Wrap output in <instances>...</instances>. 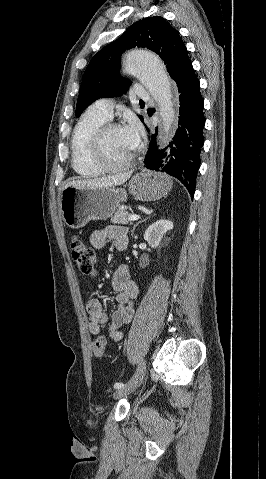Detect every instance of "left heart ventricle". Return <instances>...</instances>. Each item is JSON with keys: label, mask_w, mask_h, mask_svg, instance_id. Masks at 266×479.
I'll list each match as a JSON object with an SVG mask.
<instances>
[{"label": "left heart ventricle", "mask_w": 266, "mask_h": 479, "mask_svg": "<svg viewBox=\"0 0 266 479\" xmlns=\"http://www.w3.org/2000/svg\"><path fill=\"white\" fill-rule=\"evenodd\" d=\"M133 154L122 129L110 131L104 140V155L112 164H120Z\"/></svg>", "instance_id": "1"}]
</instances>
